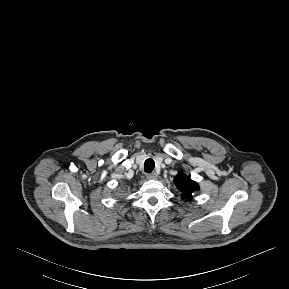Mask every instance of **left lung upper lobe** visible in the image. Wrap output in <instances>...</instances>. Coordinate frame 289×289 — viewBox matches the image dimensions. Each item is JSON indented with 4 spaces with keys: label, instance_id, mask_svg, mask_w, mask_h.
<instances>
[{
    "label": "left lung upper lobe",
    "instance_id": "left-lung-upper-lobe-1",
    "mask_svg": "<svg viewBox=\"0 0 289 289\" xmlns=\"http://www.w3.org/2000/svg\"><path fill=\"white\" fill-rule=\"evenodd\" d=\"M176 187L182 191V199H191L193 191L198 190V184L189 179L184 173L179 172L174 181Z\"/></svg>",
    "mask_w": 289,
    "mask_h": 289
}]
</instances>
